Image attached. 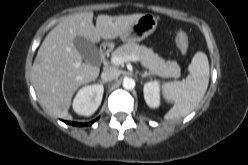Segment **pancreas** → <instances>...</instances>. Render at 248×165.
Returning <instances> with one entry per match:
<instances>
[{
    "mask_svg": "<svg viewBox=\"0 0 248 165\" xmlns=\"http://www.w3.org/2000/svg\"><path fill=\"white\" fill-rule=\"evenodd\" d=\"M136 55L140 58L142 65L149 69L152 74L162 78L177 79L181 76V68L176 61H165L158 54L144 45L133 42L126 43L112 52L113 56Z\"/></svg>",
    "mask_w": 248,
    "mask_h": 165,
    "instance_id": "obj_1",
    "label": "pancreas"
}]
</instances>
